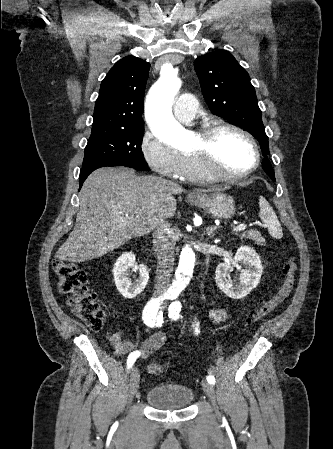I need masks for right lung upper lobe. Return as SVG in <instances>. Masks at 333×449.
I'll list each match as a JSON object with an SVG mask.
<instances>
[{"label":"right lung upper lobe","instance_id":"right-lung-upper-lobe-1","mask_svg":"<svg viewBox=\"0 0 333 449\" xmlns=\"http://www.w3.org/2000/svg\"><path fill=\"white\" fill-rule=\"evenodd\" d=\"M150 63L138 57L119 60L101 83L92 130L143 126V97Z\"/></svg>","mask_w":333,"mask_h":449}]
</instances>
